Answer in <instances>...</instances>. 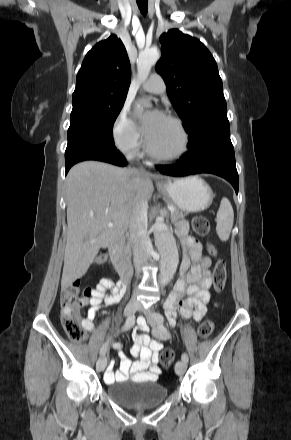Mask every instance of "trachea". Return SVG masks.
Returning a JSON list of instances; mask_svg holds the SVG:
<instances>
[{"label": "trachea", "mask_w": 291, "mask_h": 440, "mask_svg": "<svg viewBox=\"0 0 291 440\" xmlns=\"http://www.w3.org/2000/svg\"><path fill=\"white\" fill-rule=\"evenodd\" d=\"M138 7L143 15L147 13L148 0H136Z\"/></svg>", "instance_id": "trachea-1"}]
</instances>
